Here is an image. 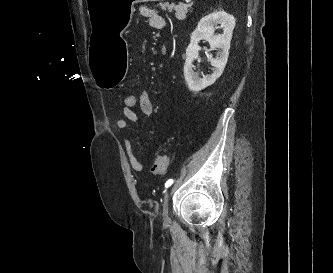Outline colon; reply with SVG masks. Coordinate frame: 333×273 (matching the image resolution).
I'll list each match as a JSON object with an SVG mask.
<instances>
[{
  "label": "colon",
  "instance_id": "5ec220e1",
  "mask_svg": "<svg viewBox=\"0 0 333 273\" xmlns=\"http://www.w3.org/2000/svg\"><path fill=\"white\" fill-rule=\"evenodd\" d=\"M138 103V95L130 93L127 94L124 97V107L133 109L137 107ZM169 166V157L166 155H158L155 157L153 165H152V171L156 174H162L164 173Z\"/></svg>",
  "mask_w": 333,
  "mask_h": 273
}]
</instances>
